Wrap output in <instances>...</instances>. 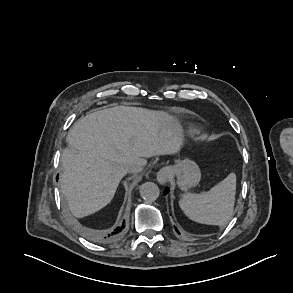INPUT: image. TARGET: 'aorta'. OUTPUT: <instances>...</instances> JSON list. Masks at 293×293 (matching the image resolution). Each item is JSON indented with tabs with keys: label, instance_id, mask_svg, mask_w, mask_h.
<instances>
[{
	"label": "aorta",
	"instance_id": "aorta-1",
	"mask_svg": "<svg viewBox=\"0 0 293 293\" xmlns=\"http://www.w3.org/2000/svg\"><path fill=\"white\" fill-rule=\"evenodd\" d=\"M159 194V187L153 182H145L140 186V195L148 202L156 200Z\"/></svg>",
	"mask_w": 293,
	"mask_h": 293
}]
</instances>
